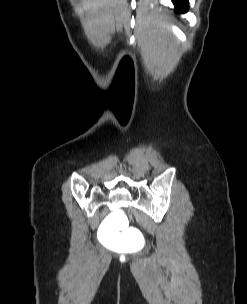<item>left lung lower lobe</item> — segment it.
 Masks as SVG:
<instances>
[{
	"instance_id": "1",
	"label": "left lung lower lobe",
	"mask_w": 247,
	"mask_h": 304,
	"mask_svg": "<svg viewBox=\"0 0 247 304\" xmlns=\"http://www.w3.org/2000/svg\"><path fill=\"white\" fill-rule=\"evenodd\" d=\"M178 12H186L189 8L188 0H172Z\"/></svg>"
}]
</instances>
